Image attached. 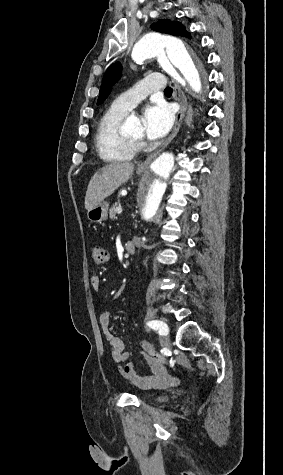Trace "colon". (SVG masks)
Wrapping results in <instances>:
<instances>
[{
  "label": "colon",
  "instance_id": "5ec220e1",
  "mask_svg": "<svg viewBox=\"0 0 283 475\" xmlns=\"http://www.w3.org/2000/svg\"><path fill=\"white\" fill-rule=\"evenodd\" d=\"M91 263L94 267L102 266L107 262L109 254L100 243L91 245ZM137 361L147 362L150 366L162 367L169 366L176 369L175 364L171 360L165 359L160 352L155 350L148 342L140 341V356L136 357Z\"/></svg>",
  "mask_w": 283,
  "mask_h": 475
}]
</instances>
